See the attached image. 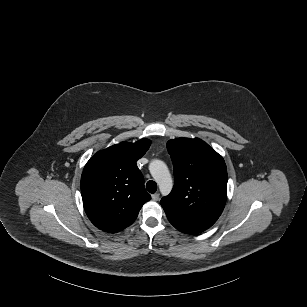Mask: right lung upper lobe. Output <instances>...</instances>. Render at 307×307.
Instances as JSON below:
<instances>
[{
    "label": "right lung upper lobe",
    "mask_w": 307,
    "mask_h": 307,
    "mask_svg": "<svg viewBox=\"0 0 307 307\" xmlns=\"http://www.w3.org/2000/svg\"><path fill=\"white\" fill-rule=\"evenodd\" d=\"M151 141L121 142L97 152L85 165L81 177L83 206L99 229L115 233L131 225L151 196L136 162Z\"/></svg>",
    "instance_id": "1"
}]
</instances>
